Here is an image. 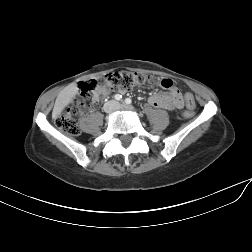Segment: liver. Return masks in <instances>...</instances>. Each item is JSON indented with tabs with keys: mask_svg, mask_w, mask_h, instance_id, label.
Returning <instances> with one entry per match:
<instances>
[{
	"mask_svg": "<svg viewBox=\"0 0 252 252\" xmlns=\"http://www.w3.org/2000/svg\"><path fill=\"white\" fill-rule=\"evenodd\" d=\"M77 94V85L76 83H71L65 87L57 96L55 105L52 112V117L57 118L61 112L65 109L66 106L73 100Z\"/></svg>",
	"mask_w": 252,
	"mask_h": 252,
	"instance_id": "6515ba94",
	"label": "liver"
}]
</instances>
